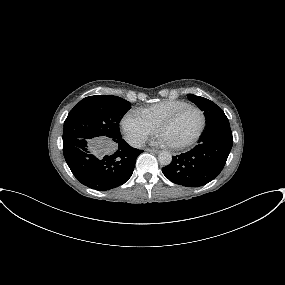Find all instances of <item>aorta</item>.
Wrapping results in <instances>:
<instances>
[{
  "instance_id": "1",
  "label": "aorta",
  "mask_w": 285,
  "mask_h": 285,
  "mask_svg": "<svg viewBox=\"0 0 285 285\" xmlns=\"http://www.w3.org/2000/svg\"><path fill=\"white\" fill-rule=\"evenodd\" d=\"M158 161L161 165L167 166L172 162V155L168 151H161L158 154Z\"/></svg>"
}]
</instances>
